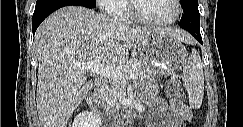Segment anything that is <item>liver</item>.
Wrapping results in <instances>:
<instances>
[{"mask_svg": "<svg viewBox=\"0 0 243 127\" xmlns=\"http://www.w3.org/2000/svg\"><path fill=\"white\" fill-rule=\"evenodd\" d=\"M152 33L180 41L191 37L180 29L132 28L82 6H66L48 16L35 33L38 58L37 111L41 127H66L69 117L93 87L79 65L99 61L123 66L131 48Z\"/></svg>", "mask_w": 243, "mask_h": 127, "instance_id": "6515ba94", "label": "liver"}]
</instances>
